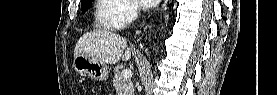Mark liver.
Listing matches in <instances>:
<instances>
[{
	"label": "liver",
	"mask_w": 277,
	"mask_h": 95,
	"mask_svg": "<svg viewBox=\"0 0 277 95\" xmlns=\"http://www.w3.org/2000/svg\"><path fill=\"white\" fill-rule=\"evenodd\" d=\"M80 54L91 55L105 64H116L121 58L123 61L131 58L127 41L119 34L106 30L81 36L75 46L74 57Z\"/></svg>",
	"instance_id": "6515ba94"
}]
</instances>
